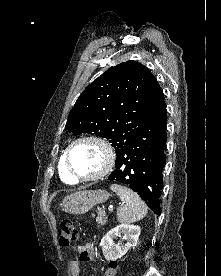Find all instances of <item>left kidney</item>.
I'll use <instances>...</instances> for the list:
<instances>
[{"label": "left kidney", "instance_id": "left-kidney-1", "mask_svg": "<svg viewBox=\"0 0 221 276\" xmlns=\"http://www.w3.org/2000/svg\"><path fill=\"white\" fill-rule=\"evenodd\" d=\"M140 227L138 225L120 224L111 229L101 240L100 246L106 260H116L121 258L127 251L137 245L140 235ZM124 234L127 243L115 245L113 239Z\"/></svg>", "mask_w": 221, "mask_h": 276}]
</instances>
